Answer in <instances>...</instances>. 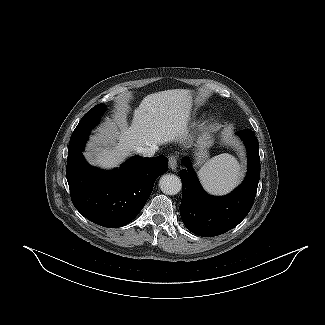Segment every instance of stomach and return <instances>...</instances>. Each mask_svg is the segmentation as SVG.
Here are the masks:
<instances>
[{
    "instance_id": "1",
    "label": "stomach",
    "mask_w": 325,
    "mask_h": 325,
    "mask_svg": "<svg viewBox=\"0 0 325 325\" xmlns=\"http://www.w3.org/2000/svg\"><path fill=\"white\" fill-rule=\"evenodd\" d=\"M190 97H192L191 92ZM212 143L213 141L209 135H202L198 138L194 151L197 166H201L203 163L208 161V148L212 145Z\"/></svg>"
}]
</instances>
